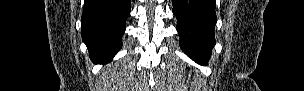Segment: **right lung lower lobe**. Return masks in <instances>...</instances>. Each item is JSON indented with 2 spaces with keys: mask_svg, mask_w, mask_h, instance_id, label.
Returning a JSON list of instances; mask_svg holds the SVG:
<instances>
[{
  "mask_svg": "<svg viewBox=\"0 0 304 91\" xmlns=\"http://www.w3.org/2000/svg\"><path fill=\"white\" fill-rule=\"evenodd\" d=\"M130 0H84L82 40L95 64H106L122 47Z\"/></svg>",
  "mask_w": 304,
  "mask_h": 91,
  "instance_id": "right-lung-lower-lobe-1",
  "label": "right lung lower lobe"
}]
</instances>
